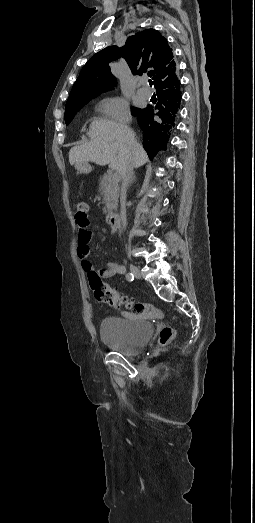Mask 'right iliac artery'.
<instances>
[{
  "label": "right iliac artery",
  "instance_id": "right-iliac-artery-1",
  "mask_svg": "<svg viewBox=\"0 0 255 523\" xmlns=\"http://www.w3.org/2000/svg\"><path fill=\"white\" fill-rule=\"evenodd\" d=\"M126 279L131 282V281L134 280V275L132 273H127L126 274Z\"/></svg>",
  "mask_w": 255,
  "mask_h": 523
}]
</instances>
